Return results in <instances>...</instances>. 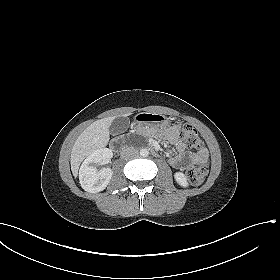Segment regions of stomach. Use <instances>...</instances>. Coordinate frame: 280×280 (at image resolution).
I'll use <instances>...</instances> for the list:
<instances>
[{"label":"stomach","mask_w":280,"mask_h":280,"mask_svg":"<svg viewBox=\"0 0 280 280\" xmlns=\"http://www.w3.org/2000/svg\"><path fill=\"white\" fill-rule=\"evenodd\" d=\"M136 120L140 123L151 124L158 128H165L169 125V120L167 117L148 112L138 114Z\"/></svg>","instance_id":"obj_1"}]
</instances>
